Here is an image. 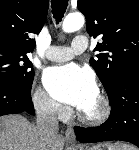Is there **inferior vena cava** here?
Segmentation results:
<instances>
[{
  "label": "inferior vena cava",
  "instance_id": "inferior-vena-cava-1",
  "mask_svg": "<svg viewBox=\"0 0 139 150\" xmlns=\"http://www.w3.org/2000/svg\"><path fill=\"white\" fill-rule=\"evenodd\" d=\"M58 104L48 97L40 99L37 109V131L41 141L45 144V150H50L52 141L56 138L59 129L57 121Z\"/></svg>",
  "mask_w": 139,
  "mask_h": 150
}]
</instances>
